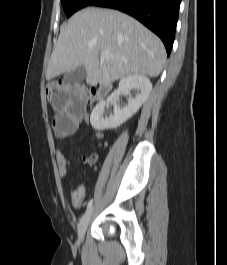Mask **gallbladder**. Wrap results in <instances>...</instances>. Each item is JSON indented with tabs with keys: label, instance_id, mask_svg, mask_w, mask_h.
Masks as SVG:
<instances>
[{
	"label": "gallbladder",
	"instance_id": "1",
	"mask_svg": "<svg viewBox=\"0 0 227 265\" xmlns=\"http://www.w3.org/2000/svg\"><path fill=\"white\" fill-rule=\"evenodd\" d=\"M86 77L85 67L76 68L64 75V82L68 84L80 83Z\"/></svg>",
	"mask_w": 227,
	"mask_h": 265
}]
</instances>
